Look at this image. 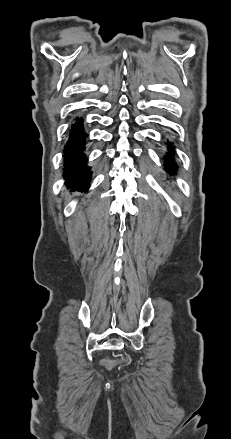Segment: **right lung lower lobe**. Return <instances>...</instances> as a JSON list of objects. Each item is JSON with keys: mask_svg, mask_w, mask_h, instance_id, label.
I'll return each mask as SVG.
<instances>
[{"mask_svg": "<svg viewBox=\"0 0 231 439\" xmlns=\"http://www.w3.org/2000/svg\"><path fill=\"white\" fill-rule=\"evenodd\" d=\"M83 120L76 119L72 125L69 134V140L64 146V177L67 186L72 191L83 192L89 188V179L91 173L86 168V158L84 155V144L86 134L83 129Z\"/></svg>", "mask_w": 231, "mask_h": 439, "instance_id": "98d812e1", "label": "right lung lower lobe"}]
</instances>
